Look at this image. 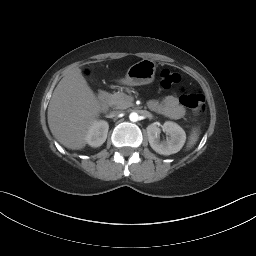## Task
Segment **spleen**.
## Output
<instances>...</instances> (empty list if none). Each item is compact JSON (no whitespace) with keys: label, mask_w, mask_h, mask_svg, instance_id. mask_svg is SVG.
<instances>
[{"label":"spleen","mask_w":256,"mask_h":256,"mask_svg":"<svg viewBox=\"0 0 256 256\" xmlns=\"http://www.w3.org/2000/svg\"><path fill=\"white\" fill-rule=\"evenodd\" d=\"M198 137H199V131H198V129H194L189 138L188 148H191L192 146H194V144L198 140Z\"/></svg>","instance_id":"obj_1"}]
</instances>
